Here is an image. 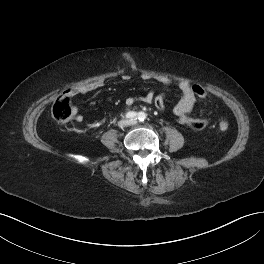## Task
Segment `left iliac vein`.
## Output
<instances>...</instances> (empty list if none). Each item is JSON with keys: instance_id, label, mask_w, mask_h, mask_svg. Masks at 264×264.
Instances as JSON below:
<instances>
[{"instance_id": "1", "label": "left iliac vein", "mask_w": 264, "mask_h": 264, "mask_svg": "<svg viewBox=\"0 0 264 264\" xmlns=\"http://www.w3.org/2000/svg\"><path fill=\"white\" fill-rule=\"evenodd\" d=\"M136 123H137L136 120H130V121H129V124H130V125H135Z\"/></svg>"}]
</instances>
